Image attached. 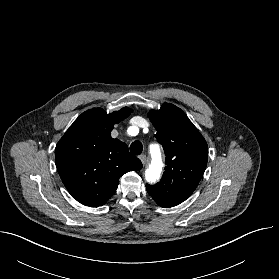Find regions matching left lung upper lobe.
Returning <instances> with one entry per match:
<instances>
[{
	"instance_id": "obj_1",
	"label": "left lung upper lobe",
	"mask_w": 279,
	"mask_h": 279,
	"mask_svg": "<svg viewBox=\"0 0 279 279\" xmlns=\"http://www.w3.org/2000/svg\"><path fill=\"white\" fill-rule=\"evenodd\" d=\"M148 116L164 148L166 167L161 181L147 184L146 189L158 205L176 206L198 186L207 166L208 146L186 114L173 104L165 103Z\"/></svg>"
}]
</instances>
